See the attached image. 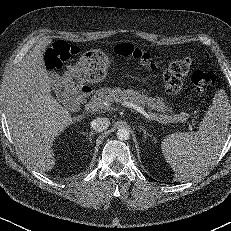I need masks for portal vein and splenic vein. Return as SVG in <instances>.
Returning <instances> with one entry per match:
<instances>
[{
    "label": "portal vein and splenic vein",
    "instance_id": "1",
    "mask_svg": "<svg viewBox=\"0 0 231 231\" xmlns=\"http://www.w3.org/2000/svg\"><path fill=\"white\" fill-rule=\"evenodd\" d=\"M124 106L133 108L137 112L141 113L144 115L147 119L152 120V121H158L160 122L159 118L155 114H151L146 112L143 108L140 106L133 104V103H125ZM103 108V104L101 102L97 101H89L87 104H85V109L90 110V111H97L99 109ZM176 122H186L187 121V116L185 115H176L175 118Z\"/></svg>",
    "mask_w": 231,
    "mask_h": 231
}]
</instances>
